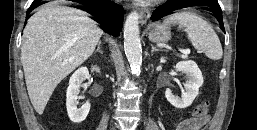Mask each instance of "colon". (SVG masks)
<instances>
[{
	"label": "colon",
	"mask_w": 257,
	"mask_h": 130,
	"mask_svg": "<svg viewBox=\"0 0 257 130\" xmlns=\"http://www.w3.org/2000/svg\"><path fill=\"white\" fill-rule=\"evenodd\" d=\"M209 104L207 102L197 105L193 110L194 119H203L207 116Z\"/></svg>",
	"instance_id": "1"
}]
</instances>
